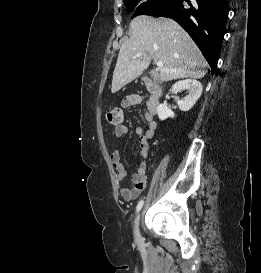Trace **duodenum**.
<instances>
[{
  "mask_svg": "<svg viewBox=\"0 0 261 273\" xmlns=\"http://www.w3.org/2000/svg\"><path fill=\"white\" fill-rule=\"evenodd\" d=\"M146 87L150 93V99H151V104L153 107H156L159 103V100L162 96V86L151 79H147L145 81Z\"/></svg>",
  "mask_w": 261,
  "mask_h": 273,
  "instance_id": "obj_1",
  "label": "duodenum"
}]
</instances>
